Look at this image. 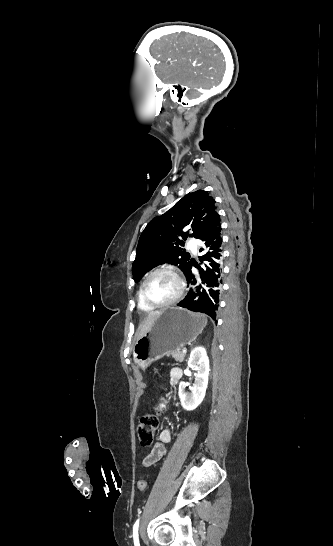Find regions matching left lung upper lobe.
<instances>
[{
  "instance_id": "1",
  "label": "left lung upper lobe",
  "mask_w": 333,
  "mask_h": 546,
  "mask_svg": "<svg viewBox=\"0 0 333 546\" xmlns=\"http://www.w3.org/2000/svg\"><path fill=\"white\" fill-rule=\"evenodd\" d=\"M217 215L215 200L207 191L198 190L188 193L166 213L151 220L140 236L132 265L135 282L164 263L179 265L186 275L191 266L190 254L180 245L188 236L199 238Z\"/></svg>"
}]
</instances>
